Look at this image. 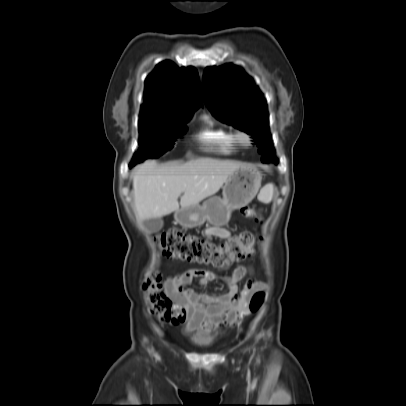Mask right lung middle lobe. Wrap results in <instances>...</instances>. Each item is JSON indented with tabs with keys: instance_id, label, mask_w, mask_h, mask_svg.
<instances>
[{
	"instance_id": "obj_1",
	"label": "right lung middle lobe",
	"mask_w": 406,
	"mask_h": 406,
	"mask_svg": "<svg viewBox=\"0 0 406 406\" xmlns=\"http://www.w3.org/2000/svg\"><path fill=\"white\" fill-rule=\"evenodd\" d=\"M176 120L140 119L139 149L130 167L148 158H157L174 147L176 138L184 134L186 126Z\"/></svg>"
}]
</instances>
